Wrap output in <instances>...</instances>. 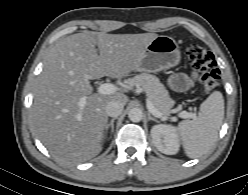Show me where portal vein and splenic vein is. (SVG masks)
<instances>
[{"label":"portal vein and splenic vein","mask_w":248,"mask_h":195,"mask_svg":"<svg viewBox=\"0 0 248 195\" xmlns=\"http://www.w3.org/2000/svg\"><path fill=\"white\" fill-rule=\"evenodd\" d=\"M118 90V87L114 84L111 83H104L101 84L98 88L97 91L99 94H103V95H108V94H112L115 93ZM85 104L84 100L80 101V106L83 107ZM147 108L149 110L150 113H152L154 116L161 118L163 117V114L161 112H159L153 105V103L151 102V100L148 98L147 99ZM179 116L181 118H194L195 114L193 113H189L187 111H182L179 113Z\"/></svg>","instance_id":"obj_1"}]
</instances>
